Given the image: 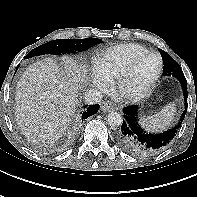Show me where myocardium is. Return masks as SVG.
Segmentation results:
<instances>
[{"label":"myocardium","mask_w":197,"mask_h":197,"mask_svg":"<svg viewBox=\"0 0 197 197\" xmlns=\"http://www.w3.org/2000/svg\"><path fill=\"white\" fill-rule=\"evenodd\" d=\"M147 56H156L158 58L159 61L158 70L144 89H142L139 92H129L126 89V84L130 76L132 75L135 67L137 66V64ZM162 71H163V60L159 53L153 51H147L145 53H142L136 56L123 70L120 76L116 79V82L114 84V93L122 101L136 102L142 100L146 98L153 91L157 81L159 80L162 74Z\"/></svg>","instance_id":"f54148a6"}]
</instances>
